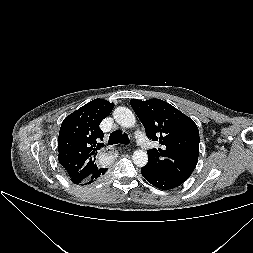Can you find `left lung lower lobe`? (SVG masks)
I'll return each instance as SVG.
<instances>
[{"label":"left lung lower lobe","instance_id":"1","mask_svg":"<svg viewBox=\"0 0 253 253\" xmlns=\"http://www.w3.org/2000/svg\"><path fill=\"white\" fill-rule=\"evenodd\" d=\"M141 174L149 183L162 190L173 189L182 184L147 165L141 169Z\"/></svg>","mask_w":253,"mask_h":253}]
</instances>
